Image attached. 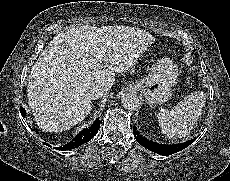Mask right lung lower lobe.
<instances>
[{
    "instance_id": "1",
    "label": "right lung lower lobe",
    "mask_w": 230,
    "mask_h": 181,
    "mask_svg": "<svg viewBox=\"0 0 230 181\" xmlns=\"http://www.w3.org/2000/svg\"><path fill=\"white\" fill-rule=\"evenodd\" d=\"M20 111H21V115L24 117L26 115L25 109L21 107ZM99 127H100V120L99 118H97L91 127L82 130L71 142L67 143L63 147L62 146L57 147L56 149L57 150H70V149H74V148L81 146L82 144L90 141L96 135Z\"/></svg>"
}]
</instances>
